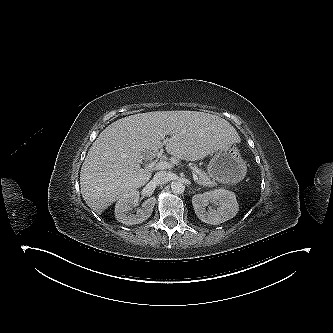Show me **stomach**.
Returning <instances> with one entry per match:
<instances>
[{"mask_svg": "<svg viewBox=\"0 0 333 333\" xmlns=\"http://www.w3.org/2000/svg\"><path fill=\"white\" fill-rule=\"evenodd\" d=\"M246 172V163L235 144L218 150L207 167L209 177L223 184H237Z\"/></svg>", "mask_w": 333, "mask_h": 333, "instance_id": "obj_1", "label": "stomach"}]
</instances>
